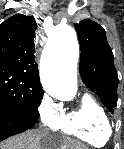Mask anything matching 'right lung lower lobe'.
Masks as SVG:
<instances>
[{
	"mask_svg": "<svg viewBox=\"0 0 124 149\" xmlns=\"http://www.w3.org/2000/svg\"><path fill=\"white\" fill-rule=\"evenodd\" d=\"M38 118L30 111L0 108V141L32 128Z\"/></svg>",
	"mask_w": 124,
	"mask_h": 149,
	"instance_id": "1",
	"label": "right lung lower lobe"
}]
</instances>
